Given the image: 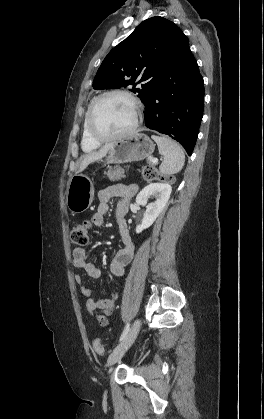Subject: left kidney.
<instances>
[{
    "label": "left kidney",
    "mask_w": 264,
    "mask_h": 419,
    "mask_svg": "<svg viewBox=\"0 0 264 419\" xmlns=\"http://www.w3.org/2000/svg\"><path fill=\"white\" fill-rule=\"evenodd\" d=\"M172 188L168 183H150L144 187L136 197L138 205L146 206L142 223L136 227V233H141L149 228L162 212L171 195ZM155 197L154 202L148 203L150 197Z\"/></svg>",
    "instance_id": "obj_1"
}]
</instances>
